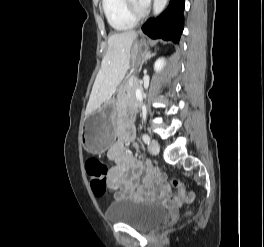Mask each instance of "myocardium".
<instances>
[{
    "instance_id": "f54148a6",
    "label": "myocardium",
    "mask_w": 264,
    "mask_h": 247,
    "mask_svg": "<svg viewBox=\"0 0 264 247\" xmlns=\"http://www.w3.org/2000/svg\"><path fill=\"white\" fill-rule=\"evenodd\" d=\"M126 1V9L129 15L135 20H141L145 18L148 13L149 9L144 7L142 9H138L134 3V0H125Z\"/></svg>"
}]
</instances>
